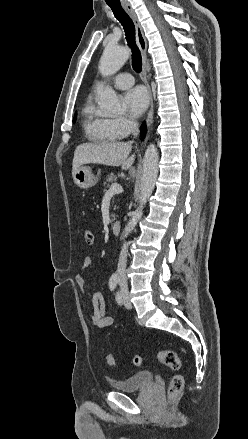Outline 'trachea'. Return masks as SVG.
<instances>
[{
	"label": "trachea",
	"instance_id": "obj_1",
	"mask_svg": "<svg viewBox=\"0 0 248 439\" xmlns=\"http://www.w3.org/2000/svg\"><path fill=\"white\" fill-rule=\"evenodd\" d=\"M108 6L112 9L115 17L124 28L128 45L132 50V67L136 72L139 73L142 70V57L141 52L135 42L134 23L121 5L108 4Z\"/></svg>",
	"mask_w": 248,
	"mask_h": 439
}]
</instances>
